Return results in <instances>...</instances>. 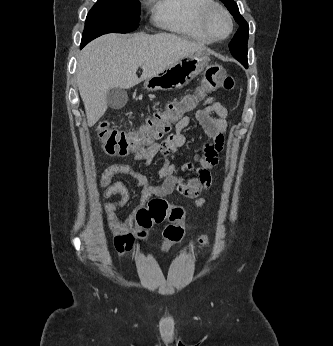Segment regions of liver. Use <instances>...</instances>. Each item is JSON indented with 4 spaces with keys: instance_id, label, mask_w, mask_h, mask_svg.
I'll return each instance as SVG.
<instances>
[{
    "instance_id": "1",
    "label": "liver",
    "mask_w": 333,
    "mask_h": 346,
    "mask_svg": "<svg viewBox=\"0 0 333 346\" xmlns=\"http://www.w3.org/2000/svg\"><path fill=\"white\" fill-rule=\"evenodd\" d=\"M203 45L170 33L107 34L89 43L78 57L77 85L92 127L106 112L111 88L129 89L155 76ZM141 67L140 78L136 72Z\"/></svg>"
}]
</instances>
